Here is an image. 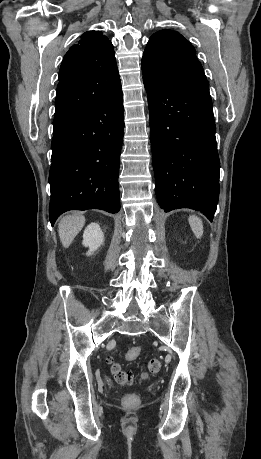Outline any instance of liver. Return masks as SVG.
Here are the masks:
<instances>
[{"instance_id": "1", "label": "liver", "mask_w": 261, "mask_h": 459, "mask_svg": "<svg viewBox=\"0 0 261 459\" xmlns=\"http://www.w3.org/2000/svg\"><path fill=\"white\" fill-rule=\"evenodd\" d=\"M85 217L82 215L65 216L58 226L60 241L64 248H68L76 235L82 230Z\"/></svg>"}]
</instances>
